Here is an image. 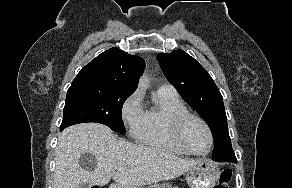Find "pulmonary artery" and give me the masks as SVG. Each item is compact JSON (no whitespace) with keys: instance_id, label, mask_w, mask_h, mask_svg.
<instances>
[{"instance_id":"pulmonary-artery-1","label":"pulmonary artery","mask_w":292,"mask_h":188,"mask_svg":"<svg viewBox=\"0 0 292 188\" xmlns=\"http://www.w3.org/2000/svg\"><path fill=\"white\" fill-rule=\"evenodd\" d=\"M160 90H164V91H167V92H172V93H176V90L175 88L170 85V84H164V85H161L159 87Z\"/></svg>"}]
</instances>
